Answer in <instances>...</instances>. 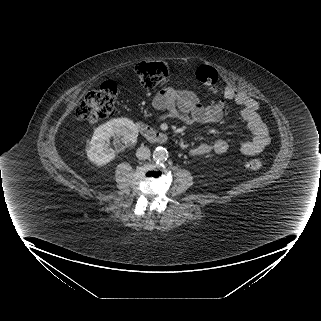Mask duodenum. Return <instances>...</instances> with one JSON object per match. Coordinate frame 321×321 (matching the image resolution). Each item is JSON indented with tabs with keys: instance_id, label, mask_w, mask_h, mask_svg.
Returning <instances> with one entry per match:
<instances>
[{
	"instance_id": "obj_1",
	"label": "duodenum",
	"mask_w": 321,
	"mask_h": 321,
	"mask_svg": "<svg viewBox=\"0 0 321 321\" xmlns=\"http://www.w3.org/2000/svg\"><path fill=\"white\" fill-rule=\"evenodd\" d=\"M137 128L147 140L153 143L164 144L168 141V137L165 133L151 127L144 122H137Z\"/></svg>"
}]
</instances>
